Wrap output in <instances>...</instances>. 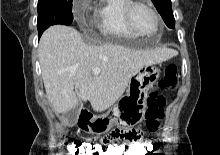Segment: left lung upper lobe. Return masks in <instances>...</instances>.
<instances>
[{
	"label": "left lung upper lobe",
	"mask_w": 220,
	"mask_h": 155,
	"mask_svg": "<svg viewBox=\"0 0 220 155\" xmlns=\"http://www.w3.org/2000/svg\"><path fill=\"white\" fill-rule=\"evenodd\" d=\"M159 14L169 28H174L175 19L172 12L171 0H152Z\"/></svg>",
	"instance_id": "obj_1"
}]
</instances>
